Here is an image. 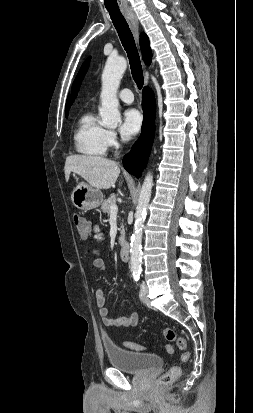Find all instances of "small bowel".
<instances>
[{
	"instance_id": "obj_1",
	"label": "small bowel",
	"mask_w": 253,
	"mask_h": 413,
	"mask_svg": "<svg viewBox=\"0 0 253 413\" xmlns=\"http://www.w3.org/2000/svg\"><path fill=\"white\" fill-rule=\"evenodd\" d=\"M94 231L96 233V238L100 239L98 229L95 228ZM94 254L95 256L92 262L93 267L97 270H104L105 260L103 252L98 250L95 251ZM94 298L105 326L109 328H130L137 325L139 321V314L137 312H133L129 316L124 317L112 318L109 316L108 309L105 305V295L102 289L98 288L95 290Z\"/></svg>"
}]
</instances>
